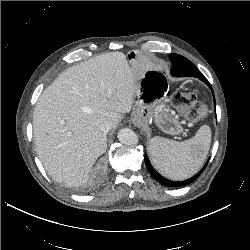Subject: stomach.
<instances>
[{"instance_id":"obj_1","label":"stomach","mask_w":250,"mask_h":250,"mask_svg":"<svg viewBox=\"0 0 250 250\" xmlns=\"http://www.w3.org/2000/svg\"><path fill=\"white\" fill-rule=\"evenodd\" d=\"M142 56L138 51L129 52V62L133 68L141 65ZM167 82L152 71L144 73L138 81V88L133 96L132 123L137 127H146L152 120L166 133L178 134L181 126L170 114L164 102Z\"/></svg>"}]
</instances>
